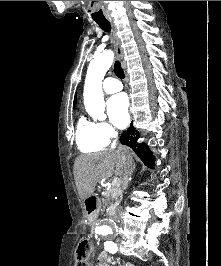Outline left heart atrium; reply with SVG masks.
Here are the masks:
<instances>
[{
  "label": "left heart atrium",
  "instance_id": "obj_1",
  "mask_svg": "<svg viewBox=\"0 0 221 266\" xmlns=\"http://www.w3.org/2000/svg\"><path fill=\"white\" fill-rule=\"evenodd\" d=\"M129 102L124 93L116 94L107 101V112L111 122L118 128H124L129 121Z\"/></svg>",
  "mask_w": 221,
  "mask_h": 266
}]
</instances>
